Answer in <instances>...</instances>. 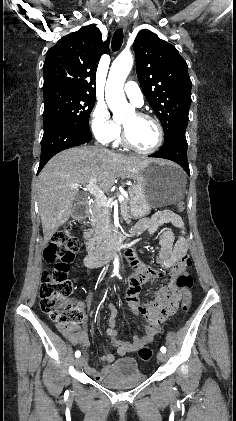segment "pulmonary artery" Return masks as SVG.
<instances>
[{
	"mask_svg": "<svg viewBox=\"0 0 236 421\" xmlns=\"http://www.w3.org/2000/svg\"><path fill=\"white\" fill-rule=\"evenodd\" d=\"M124 90L127 97L136 107H141L144 104L143 94L136 84H125Z\"/></svg>",
	"mask_w": 236,
	"mask_h": 421,
	"instance_id": "pulmonary-artery-1",
	"label": "pulmonary artery"
}]
</instances>
